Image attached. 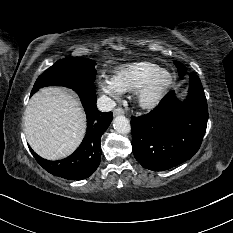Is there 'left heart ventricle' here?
Listing matches in <instances>:
<instances>
[{"mask_svg": "<svg viewBox=\"0 0 233 233\" xmlns=\"http://www.w3.org/2000/svg\"><path fill=\"white\" fill-rule=\"evenodd\" d=\"M165 80H166V75H161L160 77H158V79L156 80L154 84V88L160 87L164 83Z\"/></svg>", "mask_w": 233, "mask_h": 233, "instance_id": "obj_1", "label": "left heart ventricle"}]
</instances>
